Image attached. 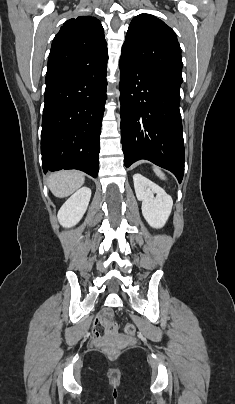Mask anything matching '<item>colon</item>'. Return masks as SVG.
I'll use <instances>...</instances> for the list:
<instances>
[{"instance_id": "5ec220e1", "label": "colon", "mask_w": 235, "mask_h": 404, "mask_svg": "<svg viewBox=\"0 0 235 404\" xmlns=\"http://www.w3.org/2000/svg\"><path fill=\"white\" fill-rule=\"evenodd\" d=\"M104 317L106 320L105 325L107 327H109V332L110 333L114 332L117 329V325H118V320H117L116 315L113 312H111L110 310H106L104 312ZM123 331L126 334L132 335L135 333V326L132 323H126L123 326ZM95 335L99 336L100 335L99 331L96 330Z\"/></svg>"}]
</instances>
